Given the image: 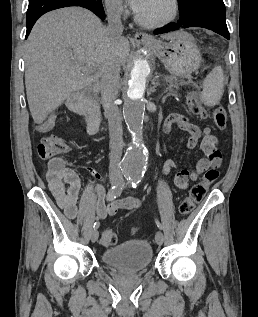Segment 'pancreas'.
I'll return each mask as SVG.
<instances>
[{"mask_svg": "<svg viewBox=\"0 0 258 317\" xmlns=\"http://www.w3.org/2000/svg\"><path fill=\"white\" fill-rule=\"evenodd\" d=\"M166 82H169V88H177L178 82H174V76H166Z\"/></svg>", "mask_w": 258, "mask_h": 317, "instance_id": "cf45deb5", "label": "pancreas"}]
</instances>
